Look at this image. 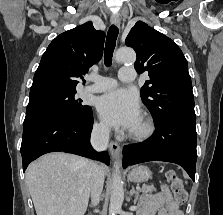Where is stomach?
<instances>
[{
	"label": "stomach",
	"mask_w": 223,
	"mask_h": 215,
	"mask_svg": "<svg viewBox=\"0 0 223 215\" xmlns=\"http://www.w3.org/2000/svg\"><path fill=\"white\" fill-rule=\"evenodd\" d=\"M129 181H147L149 177H151V171H149L148 167H144V165H138V167H134L131 169L127 175Z\"/></svg>",
	"instance_id": "0dacf381"
}]
</instances>
